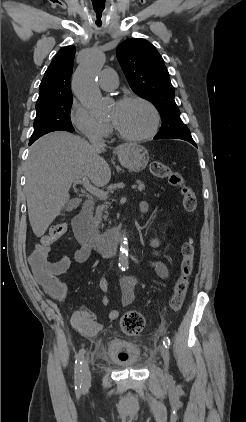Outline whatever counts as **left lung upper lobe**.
<instances>
[{"label":"left lung upper lobe","instance_id":"obj_1","mask_svg":"<svg viewBox=\"0 0 246 422\" xmlns=\"http://www.w3.org/2000/svg\"><path fill=\"white\" fill-rule=\"evenodd\" d=\"M118 61L132 90L159 111L162 126L157 138H192L180 118L168 70L156 48L147 40L131 38L116 49Z\"/></svg>","mask_w":246,"mask_h":422}]
</instances>
